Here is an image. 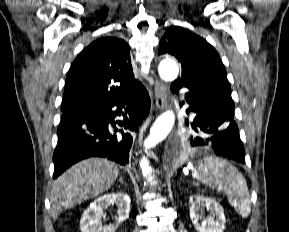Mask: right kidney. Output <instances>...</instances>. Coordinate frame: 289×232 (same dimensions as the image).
Returning <instances> with one entry per match:
<instances>
[{"label": "right kidney", "mask_w": 289, "mask_h": 232, "mask_svg": "<svg viewBox=\"0 0 289 232\" xmlns=\"http://www.w3.org/2000/svg\"><path fill=\"white\" fill-rule=\"evenodd\" d=\"M131 200L129 195L122 192L108 193L94 200L84 211L80 219L81 232H115L120 223L128 219ZM116 205L118 208L115 224L102 225L104 208Z\"/></svg>", "instance_id": "1"}]
</instances>
